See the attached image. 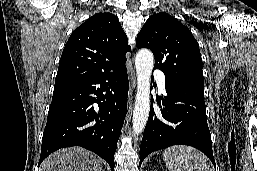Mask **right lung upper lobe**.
I'll list each match as a JSON object with an SVG mask.
<instances>
[{
	"label": "right lung upper lobe",
	"mask_w": 257,
	"mask_h": 171,
	"mask_svg": "<svg viewBox=\"0 0 257 171\" xmlns=\"http://www.w3.org/2000/svg\"><path fill=\"white\" fill-rule=\"evenodd\" d=\"M130 51L118 18L98 13L75 29L61 55L55 84L83 80L125 64Z\"/></svg>",
	"instance_id": "obj_1"
}]
</instances>
